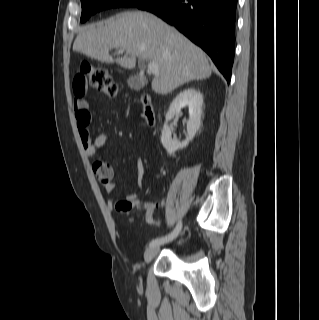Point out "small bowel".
Returning a JSON list of instances; mask_svg holds the SVG:
<instances>
[{
  "instance_id": "c3829d8e",
  "label": "small bowel",
  "mask_w": 319,
  "mask_h": 320,
  "mask_svg": "<svg viewBox=\"0 0 319 320\" xmlns=\"http://www.w3.org/2000/svg\"><path fill=\"white\" fill-rule=\"evenodd\" d=\"M75 99H74V109H75V121L77 123V127L80 132L81 142L84 147V151L87 157H94L98 150L105 145L110 140V137L106 134H100L96 136L94 139L91 138L88 132V124L91 119V114L89 111V104L85 98L86 89L85 86L81 88L74 87ZM86 127V128H85ZM104 162V161H97ZM96 163V162H95ZM136 169H137V183L138 186L142 189L145 188V167L144 163L141 159L136 161ZM96 176L102 182L103 188L107 193H111L116 188V183L113 180L112 170L107 171L105 169H100L95 172ZM128 199L136 202L141 208L145 210L146 213H152L155 210V205L152 202L148 201H140L135 194H130Z\"/></svg>"
}]
</instances>
